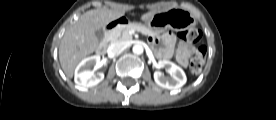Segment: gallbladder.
<instances>
[{
  "mask_svg": "<svg viewBox=\"0 0 276 120\" xmlns=\"http://www.w3.org/2000/svg\"><path fill=\"white\" fill-rule=\"evenodd\" d=\"M95 34H96V36H97V38H98L99 40H102L103 37H104V33H103V30H102V29L96 30V31H95Z\"/></svg>",
  "mask_w": 276,
  "mask_h": 120,
  "instance_id": "gallbladder-1",
  "label": "gallbladder"
}]
</instances>
